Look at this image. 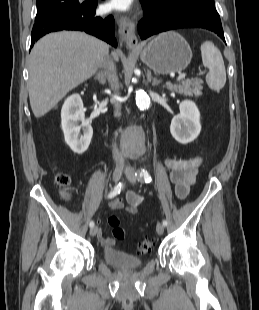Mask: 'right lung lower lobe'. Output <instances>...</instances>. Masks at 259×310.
Returning a JSON list of instances; mask_svg holds the SVG:
<instances>
[{"label":"right lung lower lobe","instance_id":"1","mask_svg":"<svg viewBox=\"0 0 259 310\" xmlns=\"http://www.w3.org/2000/svg\"><path fill=\"white\" fill-rule=\"evenodd\" d=\"M97 2L88 1L69 10H53L36 16L32 29L31 47L47 33L60 30H81L94 35L112 46H117L114 38L115 23L112 16H95Z\"/></svg>","mask_w":259,"mask_h":310}]
</instances>
